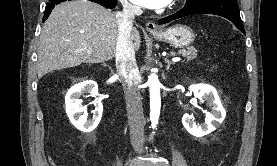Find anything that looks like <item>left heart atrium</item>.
Here are the masks:
<instances>
[{
  "mask_svg": "<svg viewBox=\"0 0 277 166\" xmlns=\"http://www.w3.org/2000/svg\"><path fill=\"white\" fill-rule=\"evenodd\" d=\"M131 1L145 8L159 9L169 5L172 0H131Z\"/></svg>",
  "mask_w": 277,
  "mask_h": 166,
  "instance_id": "left-heart-atrium-1",
  "label": "left heart atrium"
}]
</instances>
